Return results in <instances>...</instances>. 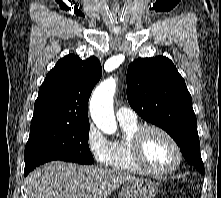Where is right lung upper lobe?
Here are the masks:
<instances>
[{"mask_svg":"<svg viewBox=\"0 0 221 198\" xmlns=\"http://www.w3.org/2000/svg\"><path fill=\"white\" fill-rule=\"evenodd\" d=\"M101 75V64L96 57L82 60L70 54L61 58L39 88L32 124L89 123L88 101Z\"/></svg>","mask_w":221,"mask_h":198,"instance_id":"1","label":"right lung upper lobe"}]
</instances>
